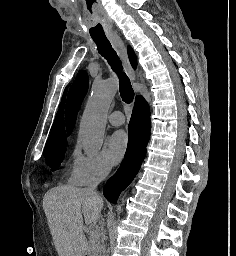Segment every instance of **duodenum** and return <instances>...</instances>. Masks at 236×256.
Masks as SVG:
<instances>
[{"label": "duodenum", "instance_id": "410a0bca", "mask_svg": "<svg viewBox=\"0 0 236 256\" xmlns=\"http://www.w3.org/2000/svg\"><path fill=\"white\" fill-rule=\"evenodd\" d=\"M83 256H89V253L86 248H84V250H83Z\"/></svg>", "mask_w": 236, "mask_h": 256}]
</instances>
